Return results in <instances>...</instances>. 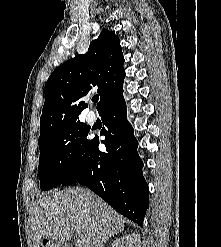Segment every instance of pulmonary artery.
<instances>
[{
  "label": "pulmonary artery",
  "instance_id": "e3ab8cb5",
  "mask_svg": "<svg viewBox=\"0 0 221 247\" xmlns=\"http://www.w3.org/2000/svg\"><path fill=\"white\" fill-rule=\"evenodd\" d=\"M94 119H95L94 113L90 112V113L88 114V120H89L90 122H93Z\"/></svg>",
  "mask_w": 221,
  "mask_h": 247
}]
</instances>
